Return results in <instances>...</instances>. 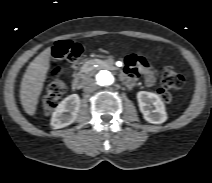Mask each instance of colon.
<instances>
[{
    "label": "colon",
    "mask_w": 212,
    "mask_h": 183,
    "mask_svg": "<svg viewBox=\"0 0 212 183\" xmlns=\"http://www.w3.org/2000/svg\"><path fill=\"white\" fill-rule=\"evenodd\" d=\"M82 53V46L69 40L58 41L52 50L56 59L68 62L71 67H76L79 64ZM63 73L64 67L62 66L55 67L53 71V81L42 99V108L46 114H51L54 111L66 91V84L62 78ZM183 83V76L173 68L168 67L162 73V86L158 89V95L162 101L169 102L172 98L169 89L180 88Z\"/></svg>",
    "instance_id": "colon-1"
}]
</instances>
